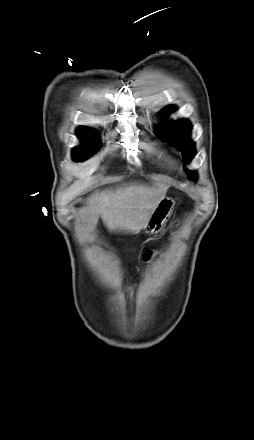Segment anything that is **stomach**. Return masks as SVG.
Segmentation results:
<instances>
[{"mask_svg":"<svg viewBox=\"0 0 254 440\" xmlns=\"http://www.w3.org/2000/svg\"><path fill=\"white\" fill-rule=\"evenodd\" d=\"M174 206L175 201L172 198L164 197L151 213L150 220L145 227L146 232L155 234L161 231L167 220L170 218Z\"/></svg>","mask_w":254,"mask_h":440,"instance_id":"1","label":"stomach"}]
</instances>
